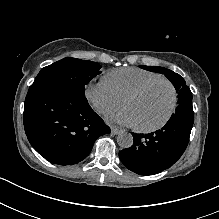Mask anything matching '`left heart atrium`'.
Returning a JSON list of instances; mask_svg holds the SVG:
<instances>
[{"label":"left heart atrium","mask_w":219,"mask_h":219,"mask_svg":"<svg viewBox=\"0 0 219 219\" xmlns=\"http://www.w3.org/2000/svg\"><path fill=\"white\" fill-rule=\"evenodd\" d=\"M107 121L132 125V126L136 125V120L133 113L127 109L115 115L108 116Z\"/></svg>","instance_id":"obj_1"}]
</instances>
